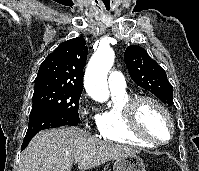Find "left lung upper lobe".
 <instances>
[{
  "label": "left lung upper lobe",
  "mask_w": 199,
  "mask_h": 171,
  "mask_svg": "<svg viewBox=\"0 0 199 171\" xmlns=\"http://www.w3.org/2000/svg\"><path fill=\"white\" fill-rule=\"evenodd\" d=\"M124 60L130 77L137 85L153 93L163 103L173 105V88L166 72L149 57L144 48L136 45L128 46Z\"/></svg>",
  "instance_id": "5c2ea615"
}]
</instances>
